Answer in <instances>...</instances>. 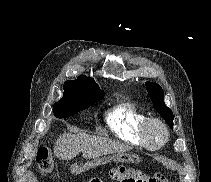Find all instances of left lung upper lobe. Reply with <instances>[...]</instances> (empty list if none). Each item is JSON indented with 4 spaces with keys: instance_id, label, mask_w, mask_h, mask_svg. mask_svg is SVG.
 Segmentation results:
<instances>
[{
    "instance_id": "left-lung-upper-lobe-1",
    "label": "left lung upper lobe",
    "mask_w": 211,
    "mask_h": 182,
    "mask_svg": "<svg viewBox=\"0 0 211 182\" xmlns=\"http://www.w3.org/2000/svg\"><path fill=\"white\" fill-rule=\"evenodd\" d=\"M145 85L155 109L159 112L169 127L173 129L174 115L170 108L164 103V92L161 86L152 82H146Z\"/></svg>"
}]
</instances>
